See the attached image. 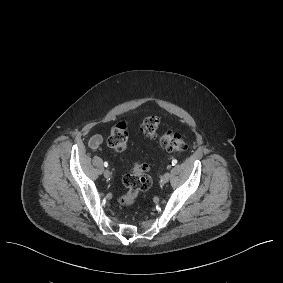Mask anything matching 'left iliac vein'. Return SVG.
Segmentation results:
<instances>
[{"instance_id":"obj_1","label":"left iliac vein","mask_w":283,"mask_h":283,"mask_svg":"<svg viewBox=\"0 0 283 283\" xmlns=\"http://www.w3.org/2000/svg\"><path fill=\"white\" fill-rule=\"evenodd\" d=\"M169 179H170V172H166V173L162 176L161 182L165 184V183H167V182L169 181Z\"/></svg>"}]
</instances>
